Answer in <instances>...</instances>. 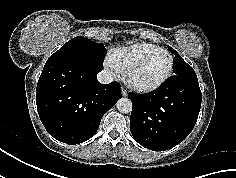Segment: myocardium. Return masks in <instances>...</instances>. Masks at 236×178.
Masks as SVG:
<instances>
[{
	"label": "myocardium",
	"mask_w": 236,
	"mask_h": 178,
	"mask_svg": "<svg viewBox=\"0 0 236 178\" xmlns=\"http://www.w3.org/2000/svg\"><path fill=\"white\" fill-rule=\"evenodd\" d=\"M158 55H167L170 59V65L168 68V71L166 72V74L157 82L152 83V84H145V83H141L139 81H137L135 79V73L136 71L148 60L154 58L155 56ZM174 70V58L171 55V53H169L168 51L162 50V51H157V52H153L141 59H139L138 61H136L135 63H133L124 73V79L126 81V83L134 90L138 91V92H151L154 91L158 88H160L165 82H167V80L171 77L172 73Z\"/></svg>",
	"instance_id": "f54148a6"
}]
</instances>
